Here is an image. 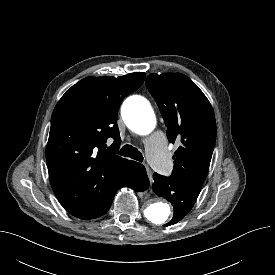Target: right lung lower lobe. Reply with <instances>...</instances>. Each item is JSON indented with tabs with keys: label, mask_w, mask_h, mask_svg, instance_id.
Segmentation results:
<instances>
[{
	"label": "right lung lower lobe",
	"mask_w": 275,
	"mask_h": 275,
	"mask_svg": "<svg viewBox=\"0 0 275 275\" xmlns=\"http://www.w3.org/2000/svg\"><path fill=\"white\" fill-rule=\"evenodd\" d=\"M123 186L131 187L136 191L146 190L149 187V180L146 174L145 167L137 162L131 164L111 197L96 213H94L87 219L97 218L104 215L109 210L116 191Z\"/></svg>",
	"instance_id": "98d812e1"
}]
</instances>
